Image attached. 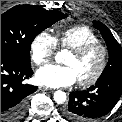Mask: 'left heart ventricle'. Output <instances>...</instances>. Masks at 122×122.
Instances as JSON below:
<instances>
[{
	"instance_id": "1",
	"label": "left heart ventricle",
	"mask_w": 122,
	"mask_h": 122,
	"mask_svg": "<svg viewBox=\"0 0 122 122\" xmlns=\"http://www.w3.org/2000/svg\"><path fill=\"white\" fill-rule=\"evenodd\" d=\"M100 60L101 53L98 49H95L81 58L69 53L64 63L73 68L77 80H84L95 73L100 64Z\"/></svg>"
}]
</instances>
